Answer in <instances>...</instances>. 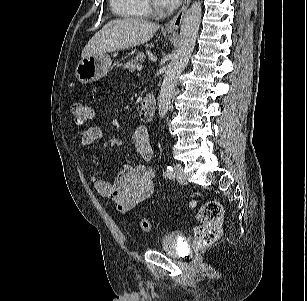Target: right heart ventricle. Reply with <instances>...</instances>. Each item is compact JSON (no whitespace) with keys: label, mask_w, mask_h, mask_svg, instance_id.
<instances>
[{"label":"right heart ventricle","mask_w":307,"mask_h":301,"mask_svg":"<svg viewBox=\"0 0 307 301\" xmlns=\"http://www.w3.org/2000/svg\"><path fill=\"white\" fill-rule=\"evenodd\" d=\"M112 11L118 16L130 19H145L149 9L145 0H110Z\"/></svg>","instance_id":"right-heart-ventricle-1"}]
</instances>
